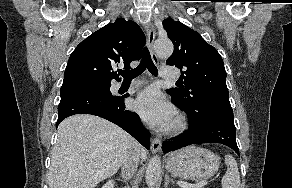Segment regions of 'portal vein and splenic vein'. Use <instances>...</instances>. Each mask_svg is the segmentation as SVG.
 Returning <instances> with one entry per match:
<instances>
[{"label": "portal vein and splenic vein", "mask_w": 292, "mask_h": 188, "mask_svg": "<svg viewBox=\"0 0 292 188\" xmlns=\"http://www.w3.org/2000/svg\"><path fill=\"white\" fill-rule=\"evenodd\" d=\"M177 184L181 187V188H201L202 186L206 185L207 182H201L199 184H196V185H191V184H188V183H185L183 181H178Z\"/></svg>", "instance_id": "obj_1"}]
</instances>
